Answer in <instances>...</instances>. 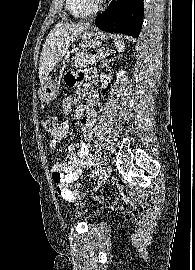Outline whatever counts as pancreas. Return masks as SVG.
<instances>
[{
	"mask_svg": "<svg viewBox=\"0 0 195 270\" xmlns=\"http://www.w3.org/2000/svg\"><path fill=\"white\" fill-rule=\"evenodd\" d=\"M104 59L100 57L98 54H88L84 51L78 52L75 57L72 59L73 66L76 67H87L89 65L98 64L100 61Z\"/></svg>",
	"mask_w": 195,
	"mask_h": 270,
	"instance_id": "1",
	"label": "pancreas"
}]
</instances>
